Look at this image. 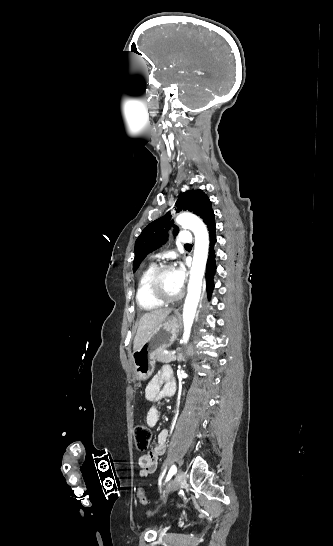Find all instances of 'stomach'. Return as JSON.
<instances>
[{"instance_id":"stomach-1","label":"stomach","mask_w":333,"mask_h":546,"mask_svg":"<svg viewBox=\"0 0 333 546\" xmlns=\"http://www.w3.org/2000/svg\"><path fill=\"white\" fill-rule=\"evenodd\" d=\"M177 332V317H168L156 328L148 341L133 352V368L139 380H146L152 375L157 354L173 344L176 340Z\"/></svg>"}]
</instances>
